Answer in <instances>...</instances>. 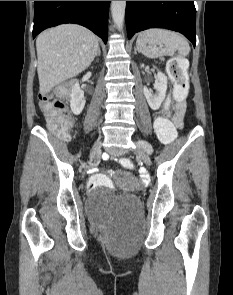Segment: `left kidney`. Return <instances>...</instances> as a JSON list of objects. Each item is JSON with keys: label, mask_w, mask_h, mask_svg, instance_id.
Instances as JSON below:
<instances>
[{"label": "left kidney", "mask_w": 233, "mask_h": 295, "mask_svg": "<svg viewBox=\"0 0 233 295\" xmlns=\"http://www.w3.org/2000/svg\"><path fill=\"white\" fill-rule=\"evenodd\" d=\"M141 67H144V64H142ZM154 89L156 90V94H153L150 90H148L146 86H144L143 90L150 108L153 110H157L160 108L162 102L164 101L167 90V77L162 72L158 71L157 73V77L154 83Z\"/></svg>", "instance_id": "5707ae66"}]
</instances>
